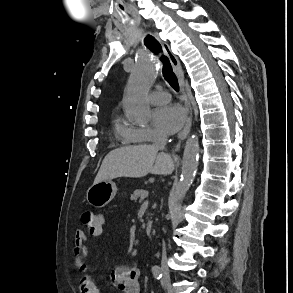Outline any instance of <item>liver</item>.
Listing matches in <instances>:
<instances>
[{"instance_id":"1","label":"liver","mask_w":293,"mask_h":293,"mask_svg":"<svg viewBox=\"0 0 293 293\" xmlns=\"http://www.w3.org/2000/svg\"><path fill=\"white\" fill-rule=\"evenodd\" d=\"M173 169L172 158L165 153H158L154 145L127 146L107 154L94 184L118 177L141 178L148 173L169 175Z\"/></svg>"}]
</instances>
